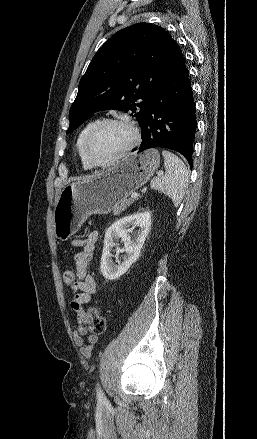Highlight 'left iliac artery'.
<instances>
[{
    "mask_svg": "<svg viewBox=\"0 0 257 439\" xmlns=\"http://www.w3.org/2000/svg\"><path fill=\"white\" fill-rule=\"evenodd\" d=\"M96 392H97V399H98V401L102 402V401L106 400V398H105V396H104V394H103L99 384L97 385Z\"/></svg>",
    "mask_w": 257,
    "mask_h": 439,
    "instance_id": "44dca946",
    "label": "left iliac artery"
}]
</instances>
